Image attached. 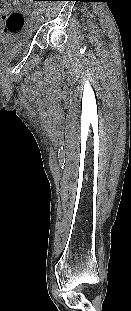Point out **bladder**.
Masks as SVG:
<instances>
[{
	"label": "bladder",
	"mask_w": 131,
	"mask_h": 311,
	"mask_svg": "<svg viewBox=\"0 0 131 311\" xmlns=\"http://www.w3.org/2000/svg\"><path fill=\"white\" fill-rule=\"evenodd\" d=\"M28 47V41L20 37L0 36V62H5L18 56Z\"/></svg>",
	"instance_id": "1"
}]
</instances>
